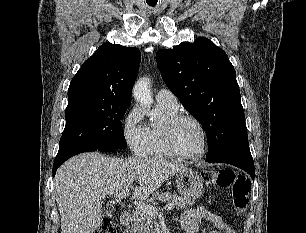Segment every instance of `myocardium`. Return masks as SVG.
Returning <instances> with one entry per match:
<instances>
[{
  "label": "myocardium",
  "instance_id": "myocardium-1",
  "mask_svg": "<svg viewBox=\"0 0 306 233\" xmlns=\"http://www.w3.org/2000/svg\"><path fill=\"white\" fill-rule=\"evenodd\" d=\"M184 120H190L194 122L200 129L202 134V149L199 153L196 154H184L180 152L174 142V133L176 127ZM163 137L165 146L170 153L171 156H174L183 160H195L203 157L208 149V133L207 130L202 123V121L196 116L188 113H178L170 118H168L163 126Z\"/></svg>",
  "mask_w": 306,
  "mask_h": 233
}]
</instances>
